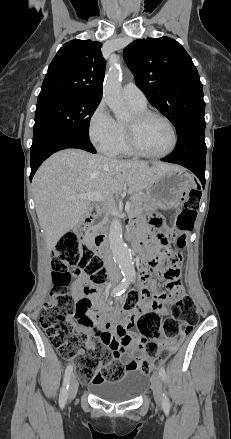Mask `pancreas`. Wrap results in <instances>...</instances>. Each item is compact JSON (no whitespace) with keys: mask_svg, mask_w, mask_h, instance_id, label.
Here are the masks:
<instances>
[{"mask_svg":"<svg viewBox=\"0 0 231 439\" xmlns=\"http://www.w3.org/2000/svg\"><path fill=\"white\" fill-rule=\"evenodd\" d=\"M145 202L144 195L136 192L130 198V209L127 211L129 218L136 216L140 211L143 203Z\"/></svg>","mask_w":231,"mask_h":439,"instance_id":"pancreas-1","label":"pancreas"}]
</instances>
